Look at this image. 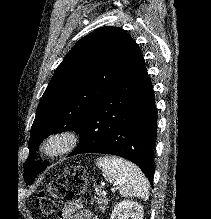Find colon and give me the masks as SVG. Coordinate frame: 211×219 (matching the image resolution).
<instances>
[{
  "mask_svg": "<svg viewBox=\"0 0 211 219\" xmlns=\"http://www.w3.org/2000/svg\"><path fill=\"white\" fill-rule=\"evenodd\" d=\"M67 174L73 180V189L71 192H67L65 184L66 175H64L61 179L48 184L36 196L35 206L42 217L47 218L54 215L62 206L64 199L71 203L80 200L88 184L87 174L81 167H71L67 170Z\"/></svg>",
  "mask_w": 211,
  "mask_h": 219,
  "instance_id": "5ec220e1",
  "label": "colon"
}]
</instances>
